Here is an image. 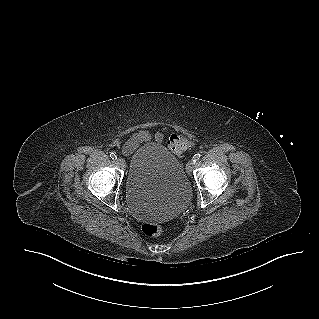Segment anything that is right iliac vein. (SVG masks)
I'll use <instances>...</instances> for the list:
<instances>
[{
    "label": "right iliac vein",
    "mask_w": 319,
    "mask_h": 319,
    "mask_svg": "<svg viewBox=\"0 0 319 319\" xmlns=\"http://www.w3.org/2000/svg\"><path fill=\"white\" fill-rule=\"evenodd\" d=\"M116 162L122 169H124L126 167V162L123 158H117Z\"/></svg>",
    "instance_id": "obj_1"
}]
</instances>
